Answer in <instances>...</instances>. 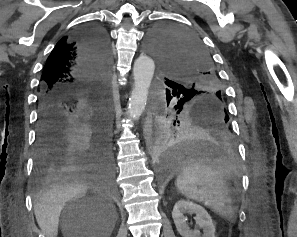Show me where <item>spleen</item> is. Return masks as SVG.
<instances>
[{
  "mask_svg": "<svg viewBox=\"0 0 297 237\" xmlns=\"http://www.w3.org/2000/svg\"><path fill=\"white\" fill-rule=\"evenodd\" d=\"M226 172L217 164L194 161L176 179L177 189L187 198L202 202L222 218L232 221L235 216Z\"/></svg>",
  "mask_w": 297,
  "mask_h": 237,
  "instance_id": "spleen-1",
  "label": "spleen"
}]
</instances>
